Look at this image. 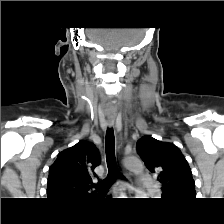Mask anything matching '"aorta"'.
<instances>
[{
	"label": "aorta",
	"mask_w": 224,
	"mask_h": 224,
	"mask_svg": "<svg viewBox=\"0 0 224 224\" xmlns=\"http://www.w3.org/2000/svg\"><path fill=\"white\" fill-rule=\"evenodd\" d=\"M124 165L127 169L139 176L143 173V164L140 159L134 156H129L124 159ZM135 198H147V193L141 187L136 188Z\"/></svg>",
	"instance_id": "aorta-1"
}]
</instances>
